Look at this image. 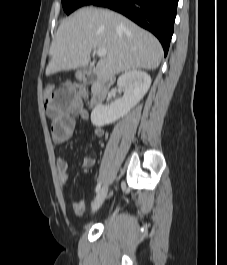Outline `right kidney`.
Listing matches in <instances>:
<instances>
[{"instance_id":"right-kidney-1","label":"right kidney","mask_w":227,"mask_h":265,"mask_svg":"<svg viewBox=\"0 0 227 265\" xmlns=\"http://www.w3.org/2000/svg\"><path fill=\"white\" fill-rule=\"evenodd\" d=\"M117 85L124 95L110 105H97L91 113V122L96 127L112 124L125 116L144 97L151 85V77L144 71L132 70L118 78Z\"/></svg>"}]
</instances>
